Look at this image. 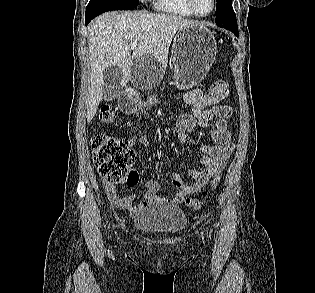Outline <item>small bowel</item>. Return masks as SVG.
Segmentation results:
<instances>
[{
	"label": "small bowel",
	"mask_w": 315,
	"mask_h": 293,
	"mask_svg": "<svg viewBox=\"0 0 315 293\" xmlns=\"http://www.w3.org/2000/svg\"><path fill=\"white\" fill-rule=\"evenodd\" d=\"M229 94L223 92L203 93L199 88L192 89L184 94V101L192 106L191 114H182L176 121V131L180 142H185L196 127L204 129L213 144H201L198 151L201 154L203 169H190L189 174L194 179L192 184L183 182L179 174H174L172 184L178 189L171 198L158 196L160 183L156 178L147 181L143 188L142 200L135 203V196L118 195L116 187L103 183L104 190L110 203L117 208L126 209L133 216L153 203H169L177 205L184 199L201 190L213 176L220 174L226 161L233 151L232 134L228 129V122L232 116V108L219 104ZM130 146L140 143L149 146L150 140L146 136H132L128 139Z\"/></svg>",
	"instance_id": "obj_1"
}]
</instances>
